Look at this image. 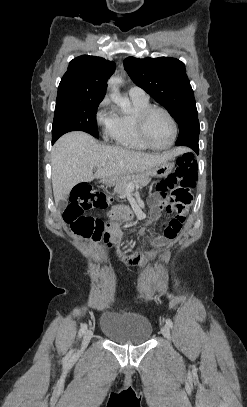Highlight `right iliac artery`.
<instances>
[{"label":"right iliac artery","mask_w":247,"mask_h":407,"mask_svg":"<svg viewBox=\"0 0 247 407\" xmlns=\"http://www.w3.org/2000/svg\"><path fill=\"white\" fill-rule=\"evenodd\" d=\"M87 330V324H84L81 326L80 330H79V336H82Z\"/></svg>","instance_id":"obj_1"}]
</instances>
